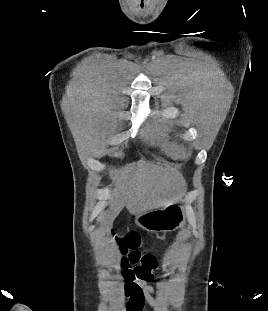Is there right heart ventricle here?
<instances>
[{"mask_svg": "<svg viewBox=\"0 0 268 311\" xmlns=\"http://www.w3.org/2000/svg\"><path fill=\"white\" fill-rule=\"evenodd\" d=\"M152 135L149 141L161 147L168 155L174 158H183L185 155L182 144L172 136L169 126V117L165 114L155 116L150 124Z\"/></svg>", "mask_w": 268, "mask_h": 311, "instance_id": "obj_1", "label": "right heart ventricle"}]
</instances>
